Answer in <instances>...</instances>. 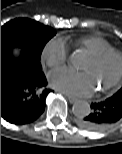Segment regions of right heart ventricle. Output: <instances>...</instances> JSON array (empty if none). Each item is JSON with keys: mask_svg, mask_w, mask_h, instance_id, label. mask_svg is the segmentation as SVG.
Returning <instances> with one entry per match:
<instances>
[{"mask_svg": "<svg viewBox=\"0 0 122 154\" xmlns=\"http://www.w3.org/2000/svg\"><path fill=\"white\" fill-rule=\"evenodd\" d=\"M69 43L75 48L85 49L90 55L113 50L108 41L97 36H83L75 40H70Z\"/></svg>", "mask_w": 122, "mask_h": 154, "instance_id": "right-heart-ventricle-1", "label": "right heart ventricle"}]
</instances>
